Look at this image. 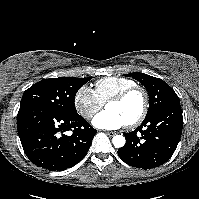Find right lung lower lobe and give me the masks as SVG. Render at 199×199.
Returning a JSON list of instances; mask_svg holds the SVG:
<instances>
[{
  "label": "right lung lower lobe",
  "instance_id": "right-lung-lower-lobe-1",
  "mask_svg": "<svg viewBox=\"0 0 199 199\" xmlns=\"http://www.w3.org/2000/svg\"><path fill=\"white\" fill-rule=\"evenodd\" d=\"M17 128L29 160L50 171L76 165L97 132L79 114L66 116L42 107L19 109Z\"/></svg>",
  "mask_w": 199,
  "mask_h": 199
}]
</instances>
